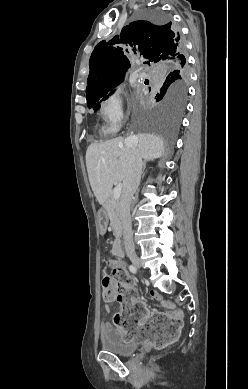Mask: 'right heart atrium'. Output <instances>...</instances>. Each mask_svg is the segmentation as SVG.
I'll return each instance as SVG.
<instances>
[{
    "label": "right heart atrium",
    "instance_id": "1",
    "mask_svg": "<svg viewBox=\"0 0 248 389\" xmlns=\"http://www.w3.org/2000/svg\"><path fill=\"white\" fill-rule=\"evenodd\" d=\"M99 115L104 122L103 130L106 133L117 132L125 118L120 94L113 92L106 95L100 104Z\"/></svg>",
    "mask_w": 248,
    "mask_h": 389
}]
</instances>
